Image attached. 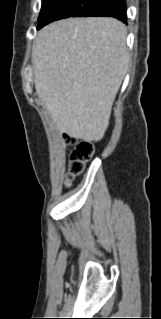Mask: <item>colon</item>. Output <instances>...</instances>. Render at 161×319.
Here are the masks:
<instances>
[{
    "label": "colon",
    "mask_w": 161,
    "mask_h": 319,
    "mask_svg": "<svg viewBox=\"0 0 161 319\" xmlns=\"http://www.w3.org/2000/svg\"><path fill=\"white\" fill-rule=\"evenodd\" d=\"M68 142L73 145L67 172V181L71 182L82 173L86 162L93 156L94 146L85 141L75 143L68 139Z\"/></svg>",
    "instance_id": "1"
}]
</instances>
